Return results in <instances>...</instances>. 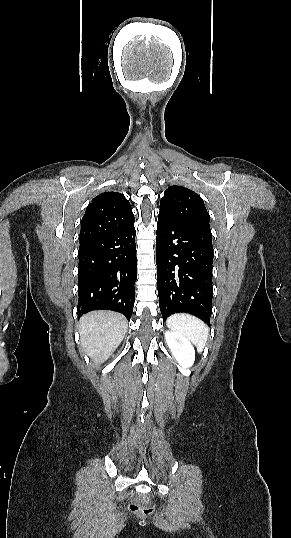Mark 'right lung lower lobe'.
I'll return each instance as SVG.
<instances>
[{
    "label": "right lung lower lobe",
    "instance_id": "1",
    "mask_svg": "<svg viewBox=\"0 0 291 538\" xmlns=\"http://www.w3.org/2000/svg\"><path fill=\"white\" fill-rule=\"evenodd\" d=\"M134 223L90 241L78 251V317L112 310L130 319L137 279Z\"/></svg>",
    "mask_w": 291,
    "mask_h": 538
}]
</instances>
